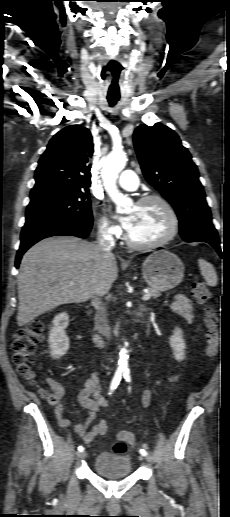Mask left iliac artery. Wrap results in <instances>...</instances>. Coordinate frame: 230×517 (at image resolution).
Segmentation results:
<instances>
[{
  "instance_id": "obj_1",
  "label": "left iliac artery",
  "mask_w": 230,
  "mask_h": 517,
  "mask_svg": "<svg viewBox=\"0 0 230 517\" xmlns=\"http://www.w3.org/2000/svg\"><path fill=\"white\" fill-rule=\"evenodd\" d=\"M124 378L127 382H130L131 381V378H130V371L129 370H125L124 371ZM140 454L143 455V456H146L148 453L146 450L144 449H140L139 450Z\"/></svg>"
}]
</instances>
